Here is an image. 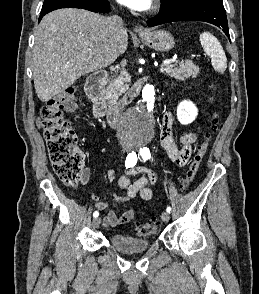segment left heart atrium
<instances>
[{"label": "left heart atrium", "instance_id": "1", "mask_svg": "<svg viewBox=\"0 0 259 294\" xmlns=\"http://www.w3.org/2000/svg\"><path fill=\"white\" fill-rule=\"evenodd\" d=\"M124 6H127L131 9L143 11L150 7L152 0H117Z\"/></svg>", "mask_w": 259, "mask_h": 294}]
</instances>
